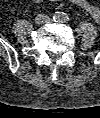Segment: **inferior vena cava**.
<instances>
[{
    "mask_svg": "<svg viewBox=\"0 0 100 118\" xmlns=\"http://www.w3.org/2000/svg\"><path fill=\"white\" fill-rule=\"evenodd\" d=\"M49 17L47 16V15H45V14H38L37 16H36V22L38 23V24H44V23H47L48 21H49Z\"/></svg>",
    "mask_w": 100,
    "mask_h": 118,
    "instance_id": "1",
    "label": "inferior vena cava"
}]
</instances>
